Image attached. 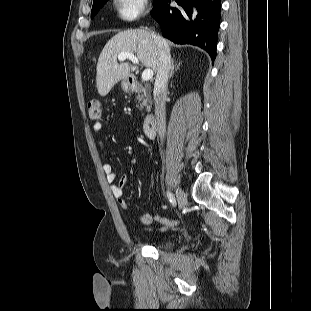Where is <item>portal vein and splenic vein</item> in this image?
Here are the masks:
<instances>
[{"mask_svg":"<svg viewBox=\"0 0 311 311\" xmlns=\"http://www.w3.org/2000/svg\"><path fill=\"white\" fill-rule=\"evenodd\" d=\"M125 59H129L133 63L138 64L139 60L138 58L130 52H122L118 55L119 61H124ZM153 77V70L152 69H145L142 73V80L143 81H149Z\"/></svg>","mask_w":311,"mask_h":311,"instance_id":"portal-vein-and-splenic-vein-1","label":"portal vein and splenic vein"}]
</instances>
